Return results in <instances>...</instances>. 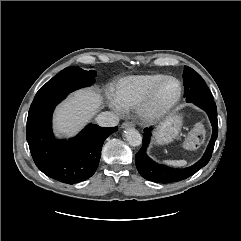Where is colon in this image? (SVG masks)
I'll return each instance as SVG.
<instances>
[{
    "mask_svg": "<svg viewBox=\"0 0 241 241\" xmlns=\"http://www.w3.org/2000/svg\"><path fill=\"white\" fill-rule=\"evenodd\" d=\"M205 125L203 123H197L190 131L186 139V147L189 149L197 148L205 138Z\"/></svg>",
    "mask_w": 241,
    "mask_h": 241,
    "instance_id": "1",
    "label": "colon"
}]
</instances>
